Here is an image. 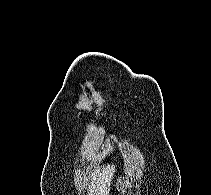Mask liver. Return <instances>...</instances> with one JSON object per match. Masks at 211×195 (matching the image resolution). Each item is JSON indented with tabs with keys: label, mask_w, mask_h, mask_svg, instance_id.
<instances>
[{
	"label": "liver",
	"mask_w": 211,
	"mask_h": 195,
	"mask_svg": "<svg viewBox=\"0 0 211 195\" xmlns=\"http://www.w3.org/2000/svg\"><path fill=\"white\" fill-rule=\"evenodd\" d=\"M115 167L108 165L107 167L95 168L89 173L88 195H109L110 185L115 172Z\"/></svg>",
	"instance_id": "1"
}]
</instances>
